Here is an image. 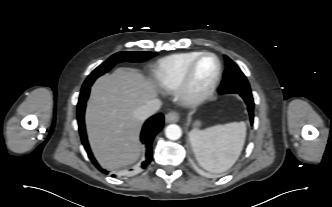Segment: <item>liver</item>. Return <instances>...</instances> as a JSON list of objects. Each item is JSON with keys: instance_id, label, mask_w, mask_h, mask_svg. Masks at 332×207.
I'll return each instance as SVG.
<instances>
[{"instance_id": "liver-1", "label": "liver", "mask_w": 332, "mask_h": 207, "mask_svg": "<svg viewBox=\"0 0 332 207\" xmlns=\"http://www.w3.org/2000/svg\"><path fill=\"white\" fill-rule=\"evenodd\" d=\"M155 96L154 84L134 69L119 68L92 86L86 127L93 153L104 169L125 167L139 157L142 120L134 112L156 100Z\"/></svg>"}]
</instances>
